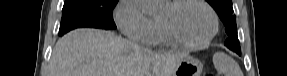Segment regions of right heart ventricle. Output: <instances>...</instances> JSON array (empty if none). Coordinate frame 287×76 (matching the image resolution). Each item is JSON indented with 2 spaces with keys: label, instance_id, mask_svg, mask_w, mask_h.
Instances as JSON below:
<instances>
[{
  "label": "right heart ventricle",
  "instance_id": "right-heart-ventricle-1",
  "mask_svg": "<svg viewBox=\"0 0 287 76\" xmlns=\"http://www.w3.org/2000/svg\"><path fill=\"white\" fill-rule=\"evenodd\" d=\"M155 26V33L152 41L153 44H170V40L164 30L161 17L157 16L153 19Z\"/></svg>",
  "mask_w": 287,
  "mask_h": 76
}]
</instances>
